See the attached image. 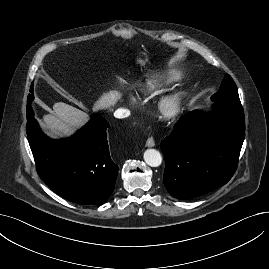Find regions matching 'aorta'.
Masks as SVG:
<instances>
[{
  "label": "aorta",
  "instance_id": "obj_1",
  "mask_svg": "<svg viewBox=\"0 0 269 269\" xmlns=\"http://www.w3.org/2000/svg\"><path fill=\"white\" fill-rule=\"evenodd\" d=\"M144 161L151 167H158L162 163V157L156 149H147L143 155Z\"/></svg>",
  "mask_w": 269,
  "mask_h": 269
}]
</instances>
